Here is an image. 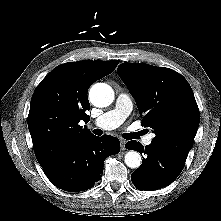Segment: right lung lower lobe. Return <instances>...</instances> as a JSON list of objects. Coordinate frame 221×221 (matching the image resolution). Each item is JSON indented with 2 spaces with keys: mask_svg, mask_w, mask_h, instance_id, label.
Wrapping results in <instances>:
<instances>
[{
  "mask_svg": "<svg viewBox=\"0 0 221 221\" xmlns=\"http://www.w3.org/2000/svg\"><path fill=\"white\" fill-rule=\"evenodd\" d=\"M119 151L118 138L92 135L41 167L56 187L69 192L83 191L101 179L105 159Z\"/></svg>",
  "mask_w": 221,
  "mask_h": 221,
  "instance_id": "98d812e1",
  "label": "right lung lower lobe"
}]
</instances>
